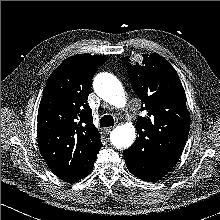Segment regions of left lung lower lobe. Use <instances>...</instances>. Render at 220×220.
Masks as SVG:
<instances>
[{
	"label": "left lung lower lobe",
	"instance_id": "0a47b994",
	"mask_svg": "<svg viewBox=\"0 0 220 220\" xmlns=\"http://www.w3.org/2000/svg\"><path fill=\"white\" fill-rule=\"evenodd\" d=\"M124 159L128 170L144 181H157L174 167L163 159L139 156L134 146L124 150Z\"/></svg>",
	"mask_w": 220,
	"mask_h": 220
}]
</instances>
